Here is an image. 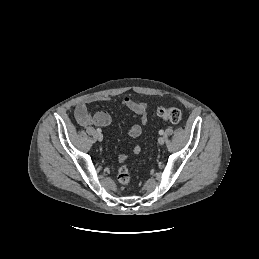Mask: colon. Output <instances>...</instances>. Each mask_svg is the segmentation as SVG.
Wrapping results in <instances>:
<instances>
[{"label":"colon","instance_id":"colon-1","mask_svg":"<svg viewBox=\"0 0 259 259\" xmlns=\"http://www.w3.org/2000/svg\"><path fill=\"white\" fill-rule=\"evenodd\" d=\"M157 115L159 118L166 122L172 124H179L182 121V113L178 108L175 107H162L157 110ZM118 182L122 186H128L131 181V176L128 168L126 166H121L117 172Z\"/></svg>","mask_w":259,"mask_h":259}]
</instances>
